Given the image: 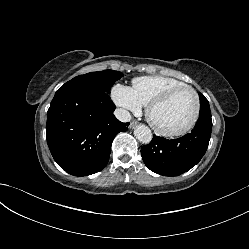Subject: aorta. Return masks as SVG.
<instances>
[{"instance_id": "aorta-1", "label": "aorta", "mask_w": 249, "mask_h": 249, "mask_svg": "<svg viewBox=\"0 0 249 249\" xmlns=\"http://www.w3.org/2000/svg\"><path fill=\"white\" fill-rule=\"evenodd\" d=\"M134 135L137 140L144 144L150 143L152 140V132L146 125H138L134 129Z\"/></svg>"}]
</instances>
